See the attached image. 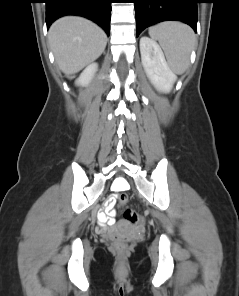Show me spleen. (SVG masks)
Returning a JSON list of instances; mask_svg holds the SVG:
<instances>
[{
	"instance_id": "spleen-1",
	"label": "spleen",
	"mask_w": 239,
	"mask_h": 296,
	"mask_svg": "<svg viewBox=\"0 0 239 296\" xmlns=\"http://www.w3.org/2000/svg\"><path fill=\"white\" fill-rule=\"evenodd\" d=\"M151 38L158 40L171 70L176 74L186 71L195 45L193 30L179 22H163L149 28Z\"/></svg>"
}]
</instances>
